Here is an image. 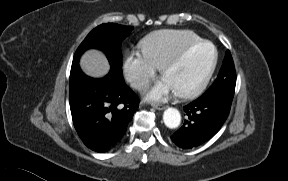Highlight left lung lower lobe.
<instances>
[{
	"instance_id": "obj_1",
	"label": "left lung lower lobe",
	"mask_w": 288,
	"mask_h": 181,
	"mask_svg": "<svg viewBox=\"0 0 288 181\" xmlns=\"http://www.w3.org/2000/svg\"><path fill=\"white\" fill-rule=\"evenodd\" d=\"M231 103L218 97H199L184 107L188 120L172 136L180 148L197 147L211 139L224 124Z\"/></svg>"
}]
</instances>
